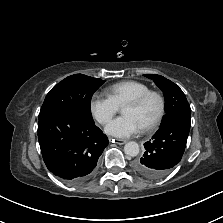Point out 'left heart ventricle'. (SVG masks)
<instances>
[{"instance_id": "left-heart-ventricle-1", "label": "left heart ventricle", "mask_w": 223, "mask_h": 223, "mask_svg": "<svg viewBox=\"0 0 223 223\" xmlns=\"http://www.w3.org/2000/svg\"><path fill=\"white\" fill-rule=\"evenodd\" d=\"M159 109V99L156 96H151L140 106H125L123 115L133 117L142 128L157 116Z\"/></svg>"}]
</instances>
